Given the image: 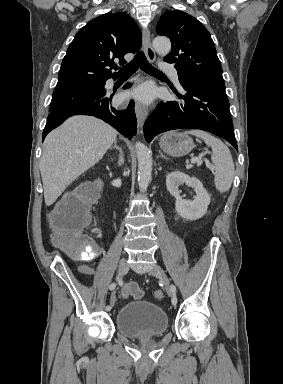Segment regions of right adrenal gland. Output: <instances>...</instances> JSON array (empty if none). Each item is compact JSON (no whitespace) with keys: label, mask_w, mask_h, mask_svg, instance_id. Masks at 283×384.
Here are the masks:
<instances>
[{"label":"right adrenal gland","mask_w":283,"mask_h":384,"mask_svg":"<svg viewBox=\"0 0 283 384\" xmlns=\"http://www.w3.org/2000/svg\"><path fill=\"white\" fill-rule=\"evenodd\" d=\"M109 150H119L120 154H119V160H118L117 164H118V166H122V164H124V162H125L124 154H123L122 148H119V146H117V140H115L113 148H109ZM112 162H113V160H112Z\"/></svg>","instance_id":"right-adrenal-gland-1"}]
</instances>
